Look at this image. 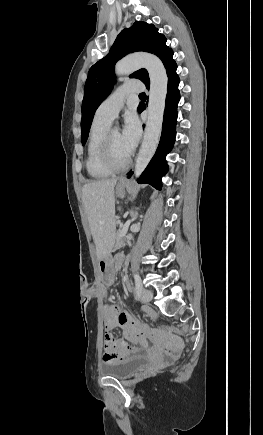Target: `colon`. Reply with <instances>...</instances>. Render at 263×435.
Masks as SVG:
<instances>
[{"label":"colon","instance_id":"5ec220e1","mask_svg":"<svg viewBox=\"0 0 263 435\" xmlns=\"http://www.w3.org/2000/svg\"><path fill=\"white\" fill-rule=\"evenodd\" d=\"M96 291L100 292L104 296V291L99 286H96L94 288ZM162 329H164L166 332H174L176 335H183L185 332L183 330H180L178 327H172L170 324H162L160 326ZM146 341V338L143 340ZM134 343H137V341H133ZM149 343L150 341H146ZM114 343V334L112 332H105L103 334V342L101 343V348L103 350H112ZM161 356V354H159Z\"/></svg>","mask_w":263,"mask_h":435}]
</instances>
